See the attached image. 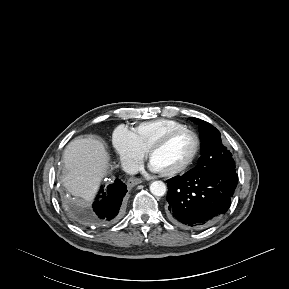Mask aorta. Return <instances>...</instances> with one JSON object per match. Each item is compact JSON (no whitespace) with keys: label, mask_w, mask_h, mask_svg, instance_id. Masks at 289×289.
<instances>
[{"label":"aorta","mask_w":289,"mask_h":289,"mask_svg":"<svg viewBox=\"0 0 289 289\" xmlns=\"http://www.w3.org/2000/svg\"><path fill=\"white\" fill-rule=\"evenodd\" d=\"M150 192L154 196H163L166 193V185L162 181H154L150 184Z\"/></svg>","instance_id":"aorta-1"}]
</instances>
